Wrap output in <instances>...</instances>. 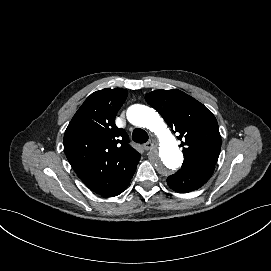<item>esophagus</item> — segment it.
<instances>
[{"label":"esophagus","mask_w":271,"mask_h":271,"mask_svg":"<svg viewBox=\"0 0 271 271\" xmlns=\"http://www.w3.org/2000/svg\"><path fill=\"white\" fill-rule=\"evenodd\" d=\"M154 147H155V144L153 142H151V141L146 142L145 144H143V148L145 150H147V151L152 150Z\"/></svg>","instance_id":"1"}]
</instances>
